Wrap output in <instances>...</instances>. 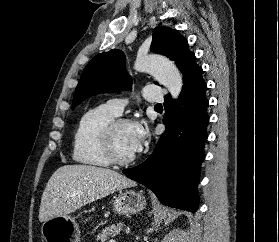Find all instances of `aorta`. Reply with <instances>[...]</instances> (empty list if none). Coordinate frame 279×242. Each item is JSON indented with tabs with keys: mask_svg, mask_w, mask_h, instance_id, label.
<instances>
[{
	"mask_svg": "<svg viewBox=\"0 0 279 242\" xmlns=\"http://www.w3.org/2000/svg\"><path fill=\"white\" fill-rule=\"evenodd\" d=\"M134 68L140 72H147L176 99L182 89V75L169 59L159 55H143L136 58Z\"/></svg>",
	"mask_w": 279,
	"mask_h": 242,
	"instance_id": "obj_1",
	"label": "aorta"
}]
</instances>
